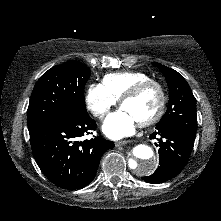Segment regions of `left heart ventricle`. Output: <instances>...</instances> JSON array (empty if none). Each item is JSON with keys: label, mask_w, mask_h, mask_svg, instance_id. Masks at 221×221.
<instances>
[{"label": "left heart ventricle", "mask_w": 221, "mask_h": 221, "mask_svg": "<svg viewBox=\"0 0 221 221\" xmlns=\"http://www.w3.org/2000/svg\"><path fill=\"white\" fill-rule=\"evenodd\" d=\"M160 102L157 87L149 86L137 97L127 100L122 108L128 111L139 123L155 114Z\"/></svg>", "instance_id": "1"}]
</instances>
